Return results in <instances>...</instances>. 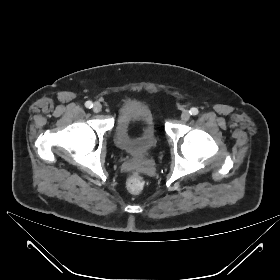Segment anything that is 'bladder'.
Segmentation results:
<instances>
[{"instance_id":"31cf9c89","label":"bladder","mask_w":280,"mask_h":280,"mask_svg":"<svg viewBox=\"0 0 280 280\" xmlns=\"http://www.w3.org/2000/svg\"><path fill=\"white\" fill-rule=\"evenodd\" d=\"M139 126L134 134L131 128ZM115 144L135 161L146 159L156 146L155 118L151 109L142 103L131 102L120 110L115 129Z\"/></svg>"}]
</instances>
